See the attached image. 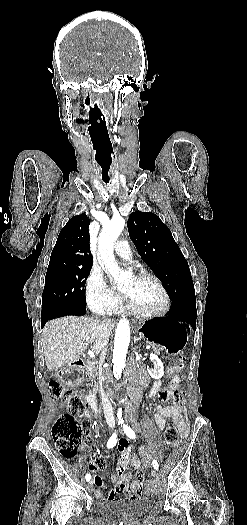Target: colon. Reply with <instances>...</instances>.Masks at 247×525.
<instances>
[{
    "instance_id": "1",
    "label": "colon",
    "mask_w": 247,
    "mask_h": 525,
    "mask_svg": "<svg viewBox=\"0 0 247 525\" xmlns=\"http://www.w3.org/2000/svg\"><path fill=\"white\" fill-rule=\"evenodd\" d=\"M183 356L177 358L176 366H171L164 373L166 378L176 377L185 371ZM50 388L53 397L64 401L68 406V412L57 419L53 429V441L58 449L60 456L64 458H74L77 456L82 437L89 427L88 405L80 394L71 388L60 386L57 382H51ZM178 441V432L175 424L169 421L164 433V445L167 448L173 447ZM136 480H145V474L139 471ZM143 486L141 488V495Z\"/></svg>"
}]
</instances>
